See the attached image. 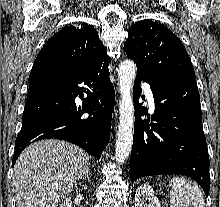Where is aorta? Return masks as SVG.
<instances>
[{
  "label": "aorta",
  "mask_w": 220,
  "mask_h": 207,
  "mask_svg": "<svg viewBox=\"0 0 220 207\" xmlns=\"http://www.w3.org/2000/svg\"><path fill=\"white\" fill-rule=\"evenodd\" d=\"M136 72V64L130 59L124 60L119 65L120 123L115 145V157L119 164H123L128 159L133 144L134 105L131 92Z\"/></svg>",
  "instance_id": "obj_1"
}]
</instances>
